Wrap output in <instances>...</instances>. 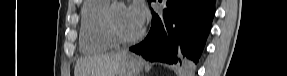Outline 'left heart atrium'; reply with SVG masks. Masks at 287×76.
<instances>
[{"label": "left heart atrium", "instance_id": "obj_1", "mask_svg": "<svg viewBox=\"0 0 287 76\" xmlns=\"http://www.w3.org/2000/svg\"><path fill=\"white\" fill-rule=\"evenodd\" d=\"M129 12L135 21L142 27L148 17L145 5L141 1H135L130 7Z\"/></svg>", "mask_w": 287, "mask_h": 76}]
</instances>
